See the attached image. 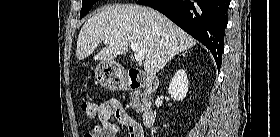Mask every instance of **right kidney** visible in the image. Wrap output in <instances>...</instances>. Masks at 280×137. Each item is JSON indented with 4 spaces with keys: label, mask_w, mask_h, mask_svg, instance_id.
Wrapping results in <instances>:
<instances>
[{
    "label": "right kidney",
    "mask_w": 280,
    "mask_h": 137,
    "mask_svg": "<svg viewBox=\"0 0 280 137\" xmlns=\"http://www.w3.org/2000/svg\"><path fill=\"white\" fill-rule=\"evenodd\" d=\"M169 94L177 101H182L188 92V79L184 69L178 70L172 78L169 88Z\"/></svg>",
    "instance_id": "obj_1"
}]
</instances>
